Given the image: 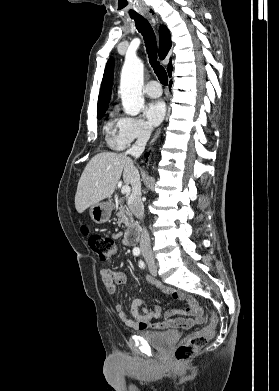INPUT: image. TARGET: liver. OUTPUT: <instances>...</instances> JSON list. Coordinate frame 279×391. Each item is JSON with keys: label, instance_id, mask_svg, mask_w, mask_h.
<instances>
[{"label": "liver", "instance_id": "1", "mask_svg": "<svg viewBox=\"0 0 279 391\" xmlns=\"http://www.w3.org/2000/svg\"><path fill=\"white\" fill-rule=\"evenodd\" d=\"M133 161L124 154L102 152L86 165L77 186L75 207L83 213L88 207L110 197L121 178L131 183Z\"/></svg>", "mask_w": 279, "mask_h": 391}]
</instances>
